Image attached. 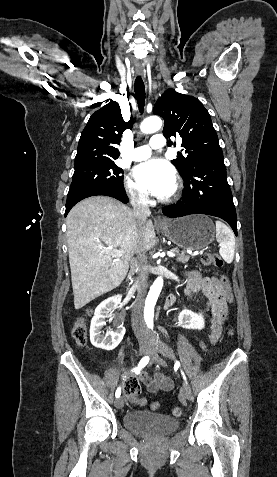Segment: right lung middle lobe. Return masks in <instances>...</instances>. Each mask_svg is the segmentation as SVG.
<instances>
[{"instance_id": "1", "label": "right lung middle lobe", "mask_w": 277, "mask_h": 477, "mask_svg": "<svg viewBox=\"0 0 277 477\" xmlns=\"http://www.w3.org/2000/svg\"><path fill=\"white\" fill-rule=\"evenodd\" d=\"M123 170L114 162L90 163L75 167L66 206L95 190L124 191Z\"/></svg>"}]
</instances>
